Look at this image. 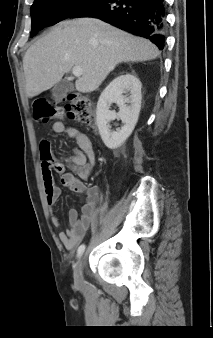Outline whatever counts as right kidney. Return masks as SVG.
<instances>
[{"label": "right kidney", "mask_w": 213, "mask_h": 338, "mask_svg": "<svg viewBox=\"0 0 213 338\" xmlns=\"http://www.w3.org/2000/svg\"><path fill=\"white\" fill-rule=\"evenodd\" d=\"M141 100V82L132 74L118 76L101 93L97 103L96 121L100 136L108 148L120 147L131 135L138 121ZM112 103L119 106L118 113L109 110ZM116 118L124 125L117 131H111L109 122Z\"/></svg>", "instance_id": "obj_1"}]
</instances>
